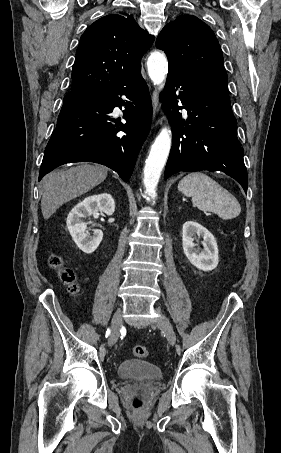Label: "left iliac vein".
I'll list each match as a JSON object with an SVG mask.
<instances>
[{
    "label": "left iliac vein",
    "instance_id": "obj_1",
    "mask_svg": "<svg viewBox=\"0 0 281 453\" xmlns=\"http://www.w3.org/2000/svg\"><path fill=\"white\" fill-rule=\"evenodd\" d=\"M156 311H158V313L160 314L159 310ZM152 322H154V325H158L161 328V330L164 331V334L166 335L165 337H167L169 343H171L172 345H175L177 343L175 332L172 329L167 317L159 316L158 318H156V320H153Z\"/></svg>",
    "mask_w": 281,
    "mask_h": 453
}]
</instances>
